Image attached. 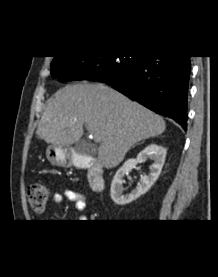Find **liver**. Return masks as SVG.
Wrapping results in <instances>:
<instances>
[{
  "label": "liver",
  "mask_w": 218,
  "mask_h": 277,
  "mask_svg": "<svg viewBox=\"0 0 218 277\" xmlns=\"http://www.w3.org/2000/svg\"><path fill=\"white\" fill-rule=\"evenodd\" d=\"M83 125L98 135V160L119 165L137 142L158 136L165 121L154 112L101 84H74L58 90L45 108L36 134L46 143L69 146L83 136Z\"/></svg>",
  "instance_id": "obj_1"
}]
</instances>
